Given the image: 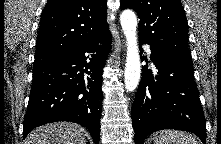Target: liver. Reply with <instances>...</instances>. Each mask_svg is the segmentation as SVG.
Returning <instances> with one entry per match:
<instances>
[{
	"instance_id": "6515ba94",
	"label": "liver",
	"mask_w": 221,
	"mask_h": 144,
	"mask_svg": "<svg viewBox=\"0 0 221 144\" xmlns=\"http://www.w3.org/2000/svg\"><path fill=\"white\" fill-rule=\"evenodd\" d=\"M86 134L80 125L56 122L33 130L25 144H86Z\"/></svg>"
}]
</instances>
